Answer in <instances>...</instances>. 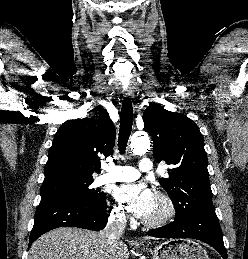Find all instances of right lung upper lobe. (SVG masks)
Returning a JSON list of instances; mask_svg holds the SVG:
<instances>
[{
    "label": "right lung upper lobe",
    "mask_w": 248,
    "mask_h": 259,
    "mask_svg": "<svg viewBox=\"0 0 248 259\" xmlns=\"http://www.w3.org/2000/svg\"><path fill=\"white\" fill-rule=\"evenodd\" d=\"M91 118L68 120L58 129L49 150L43 184L93 180L100 158H107L115 142V128L102 107Z\"/></svg>",
    "instance_id": "1"
}]
</instances>
